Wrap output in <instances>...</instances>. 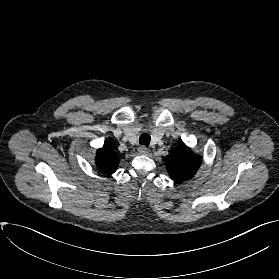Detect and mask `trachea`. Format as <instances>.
<instances>
[{"label": "trachea", "mask_w": 279, "mask_h": 279, "mask_svg": "<svg viewBox=\"0 0 279 279\" xmlns=\"http://www.w3.org/2000/svg\"><path fill=\"white\" fill-rule=\"evenodd\" d=\"M150 141H151V137L147 133H143L139 137V143L142 145L149 146Z\"/></svg>", "instance_id": "3493384b"}]
</instances>
